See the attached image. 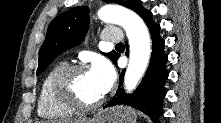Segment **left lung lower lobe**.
<instances>
[{"instance_id": "1", "label": "left lung lower lobe", "mask_w": 221, "mask_h": 123, "mask_svg": "<svg viewBox=\"0 0 221 123\" xmlns=\"http://www.w3.org/2000/svg\"><path fill=\"white\" fill-rule=\"evenodd\" d=\"M138 14L146 22L152 36V55L148 70L136 91L132 94H125L123 89L119 88L115 96L105 106L128 105L141 110L158 123V117L162 114V102L166 94L164 87L168 78L166 63L168 56L164 53V40L159 36L160 25L152 21V13L141 8ZM118 54L114 60L116 64ZM125 69L121 72V81L123 80ZM121 84V82H120Z\"/></svg>"}]
</instances>
